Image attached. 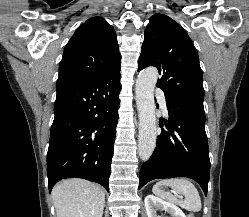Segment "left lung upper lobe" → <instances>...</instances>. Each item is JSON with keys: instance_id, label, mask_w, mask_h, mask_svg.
<instances>
[{"instance_id": "obj_1", "label": "left lung upper lobe", "mask_w": 249, "mask_h": 217, "mask_svg": "<svg viewBox=\"0 0 249 217\" xmlns=\"http://www.w3.org/2000/svg\"><path fill=\"white\" fill-rule=\"evenodd\" d=\"M148 66L158 69L161 78L157 86L165 96L203 101V74L197 50L184 28L167 15H153L145 29L138 71Z\"/></svg>"}]
</instances>
